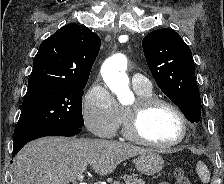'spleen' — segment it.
I'll list each match as a JSON object with an SVG mask.
<instances>
[{"label":"spleen","instance_id":"3e777b00","mask_svg":"<svg viewBox=\"0 0 224 184\" xmlns=\"http://www.w3.org/2000/svg\"><path fill=\"white\" fill-rule=\"evenodd\" d=\"M196 172L203 183H209L210 173L207 166L203 162L199 161L196 164Z\"/></svg>","mask_w":224,"mask_h":184}]
</instances>
